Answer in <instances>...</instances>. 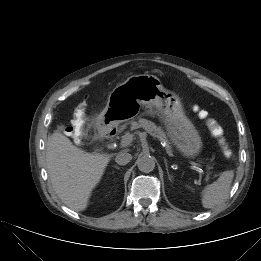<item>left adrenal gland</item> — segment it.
<instances>
[{"label": "left adrenal gland", "mask_w": 261, "mask_h": 261, "mask_svg": "<svg viewBox=\"0 0 261 261\" xmlns=\"http://www.w3.org/2000/svg\"><path fill=\"white\" fill-rule=\"evenodd\" d=\"M165 167H166V171H167L168 178H169L170 181H172V177H171V175L169 174V170H168V166H167L166 159H165Z\"/></svg>", "instance_id": "left-adrenal-gland-1"}]
</instances>
